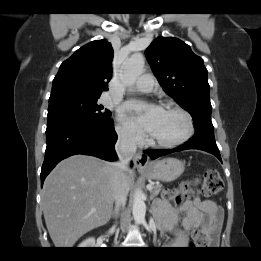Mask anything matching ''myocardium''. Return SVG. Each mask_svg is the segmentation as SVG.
I'll use <instances>...</instances> for the list:
<instances>
[{
  "mask_svg": "<svg viewBox=\"0 0 261 261\" xmlns=\"http://www.w3.org/2000/svg\"><path fill=\"white\" fill-rule=\"evenodd\" d=\"M165 110H169L178 113L184 120L185 130L176 139L169 141L154 140L152 138L148 139L150 145L160 148H173L184 144L188 141L194 133V122L192 116L182 107L175 104H167L164 107Z\"/></svg>",
  "mask_w": 261,
  "mask_h": 261,
  "instance_id": "obj_1",
  "label": "myocardium"
}]
</instances>
